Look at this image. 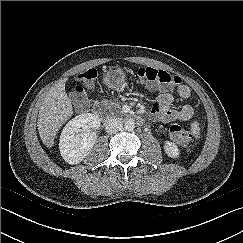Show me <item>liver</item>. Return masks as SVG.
<instances>
[{
	"mask_svg": "<svg viewBox=\"0 0 243 243\" xmlns=\"http://www.w3.org/2000/svg\"><path fill=\"white\" fill-rule=\"evenodd\" d=\"M72 114V103L65 92V81H59L46 94L38 114V132L46 147L54 145L57 131Z\"/></svg>",
	"mask_w": 243,
	"mask_h": 243,
	"instance_id": "1",
	"label": "liver"
}]
</instances>
